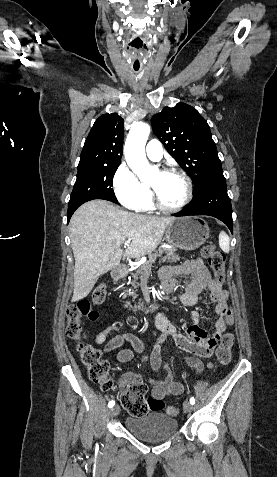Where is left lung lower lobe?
I'll use <instances>...</instances> for the list:
<instances>
[{"label": "left lung lower lobe", "instance_id": "obj_1", "mask_svg": "<svg viewBox=\"0 0 277 477\" xmlns=\"http://www.w3.org/2000/svg\"><path fill=\"white\" fill-rule=\"evenodd\" d=\"M209 215L224 222L233 232L232 207L227 194L226 180L222 170L205 177L195 190L192 204L174 216Z\"/></svg>", "mask_w": 277, "mask_h": 477}]
</instances>
